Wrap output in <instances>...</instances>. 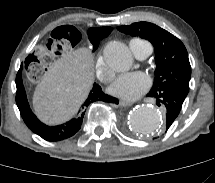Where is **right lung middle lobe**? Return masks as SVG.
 <instances>
[{"label": "right lung middle lobe", "instance_id": "1", "mask_svg": "<svg viewBox=\"0 0 215 183\" xmlns=\"http://www.w3.org/2000/svg\"><path fill=\"white\" fill-rule=\"evenodd\" d=\"M66 30H71V34H72V41H75L76 43L80 41L81 39V35L80 34H76L74 32V30H72V27L70 26H66ZM88 37L89 40L91 41V43L93 44V51H95L100 43V41L107 37L106 34H104L103 32H101L98 28H90L88 30Z\"/></svg>", "mask_w": 215, "mask_h": 183}]
</instances>
